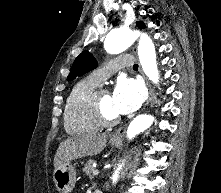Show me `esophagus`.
<instances>
[{
    "label": "esophagus",
    "mask_w": 221,
    "mask_h": 193,
    "mask_svg": "<svg viewBox=\"0 0 221 193\" xmlns=\"http://www.w3.org/2000/svg\"><path fill=\"white\" fill-rule=\"evenodd\" d=\"M136 50H137V47L134 46L133 47L134 53H136ZM145 81H146V85H147V88H148L149 96H148L147 101L144 104V109L150 104V102L152 101V97H153V90L151 88V85L147 81L146 78H145ZM125 130H126V126L119 128L115 133L112 134L111 139H114V140L120 139L122 134L125 132Z\"/></svg>",
    "instance_id": "obj_1"
}]
</instances>
